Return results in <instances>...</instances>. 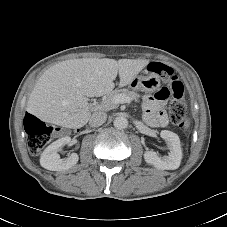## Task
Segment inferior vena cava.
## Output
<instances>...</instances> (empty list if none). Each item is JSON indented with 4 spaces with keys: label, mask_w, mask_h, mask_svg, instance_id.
I'll use <instances>...</instances> for the list:
<instances>
[{
    "label": "inferior vena cava",
    "mask_w": 227,
    "mask_h": 227,
    "mask_svg": "<svg viewBox=\"0 0 227 227\" xmlns=\"http://www.w3.org/2000/svg\"><path fill=\"white\" fill-rule=\"evenodd\" d=\"M107 119V114L104 112H95L89 119V125L91 127H98L105 123Z\"/></svg>",
    "instance_id": "1"
}]
</instances>
